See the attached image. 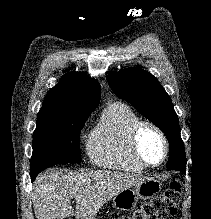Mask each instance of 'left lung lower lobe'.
<instances>
[{
    "label": "left lung lower lobe",
    "instance_id": "left-lung-lower-lobe-1",
    "mask_svg": "<svg viewBox=\"0 0 211 219\" xmlns=\"http://www.w3.org/2000/svg\"><path fill=\"white\" fill-rule=\"evenodd\" d=\"M176 169L183 173L186 172V162L182 161L181 154L177 150H170L167 168ZM168 168V169H169Z\"/></svg>",
    "mask_w": 211,
    "mask_h": 219
}]
</instances>
